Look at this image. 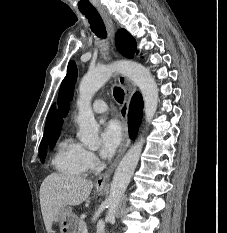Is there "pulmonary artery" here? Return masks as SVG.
Listing matches in <instances>:
<instances>
[{"instance_id": "1", "label": "pulmonary artery", "mask_w": 227, "mask_h": 233, "mask_svg": "<svg viewBox=\"0 0 227 233\" xmlns=\"http://www.w3.org/2000/svg\"><path fill=\"white\" fill-rule=\"evenodd\" d=\"M92 109L96 114L105 113L108 110V106L103 99H97L92 105Z\"/></svg>"}]
</instances>
